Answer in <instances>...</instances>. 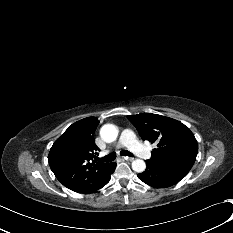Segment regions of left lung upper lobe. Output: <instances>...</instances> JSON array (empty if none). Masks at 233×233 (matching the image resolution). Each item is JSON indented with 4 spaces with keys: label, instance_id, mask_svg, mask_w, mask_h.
<instances>
[{
    "label": "left lung upper lobe",
    "instance_id": "obj_1",
    "mask_svg": "<svg viewBox=\"0 0 233 233\" xmlns=\"http://www.w3.org/2000/svg\"><path fill=\"white\" fill-rule=\"evenodd\" d=\"M143 140L157 143L149 163L184 178L192 168L198 144L188 127L180 121L152 113L127 116Z\"/></svg>",
    "mask_w": 233,
    "mask_h": 233
}]
</instances>
